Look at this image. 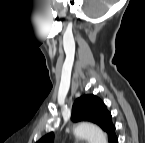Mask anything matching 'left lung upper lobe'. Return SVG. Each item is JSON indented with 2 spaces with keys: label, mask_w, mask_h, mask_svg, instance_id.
<instances>
[{
  "label": "left lung upper lobe",
  "mask_w": 145,
  "mask_h": 143,
  "mask_svg": "<svg viewBox=\"0 0 145 143\" xmlns=\"http://www.w3.org/2000/svg\"><path fill=\"white\" fill-rule=\"evenodd\" d=\"M71 119L75 122L90 121L99 125L108 134L109 141L116 137L111 114L105 104L95 95H84L76 99L72 107ZM53 137L51 132L41 138L38 143H52Z\"/></svg>",
  "instance_id": "5c2ea615"
}]
</instances>
